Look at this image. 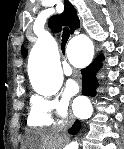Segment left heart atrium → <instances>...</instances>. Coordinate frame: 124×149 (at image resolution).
Wrapping results in <instances>:
<instances>
[{"label":"left heart atrium","mask_w":124,"mask_h":149,"mask_svg":"<svg viewBox=\"0 0 124 149\" xmlns=\"http://www.w3.org/2000/svg\"><path fill=\"white\" fill-rule=\"evenodd\" d=\"M77 88H78V85L76 83H72L68 87V91H69V93L75 94L77 92Z\"/></svg>","instance_id":"1"}]
</instances>
